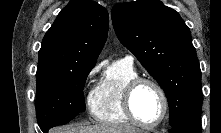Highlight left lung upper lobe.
I'll return each mask as SVG.
<instances>
[{
    "label": "left lung upper lobe",
    "instance_id": "left-lung-upper-lobe-1",
    "mask_svg": "<svg viewBox=\"0 0 221 133\" xmlns=\"http://www.w3.org/2000/svg\"><path fill=\"white\" fill-rule=\"evenodd\" d=\"M111 14L120 42L164 90L170 125L200 117L201 71L190 30L180 15L158 0L120 3Z\"/></svg>",
    "mask_w": 221,
    "mask_h": 133
}]
</instances>
